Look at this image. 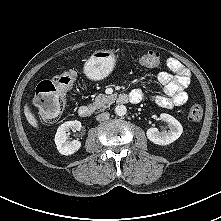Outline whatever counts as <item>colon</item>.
<instances>
[{
  "label": "colon",
  "mask_w": 221,
  "mask_h": 221,
  "mask_svg": "<svg viewBox=\"0 0 221 221\" xmlns=\"http://www.w3.org/2000/svg\"><path fill=\"white\" fill-rule=\"evenodd\" d=\"M143 67L153 68L160 64V54L157 51H147L139 58ZM76 79V73L72 70L65 71L52 80H45L38 84L34 98V105L42 122L52 123L59 120L66 103V95ZM203 109L198 103L189 107L188 118L191 121H199L202 118Z\"/></svg>",
  "instance_id": "colon-1"
}]
</instances>
